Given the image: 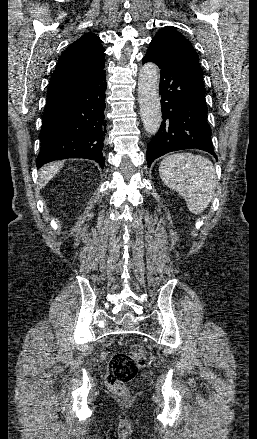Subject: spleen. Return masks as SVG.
Returning <instances> with one entry per match:
<instances>
[{
  "instance_id": "spleen-1",
  "label": "spleen",
  "mask_w": 257,
  "mask_h": 439,
  "mask_svg": "<svg viewBox=\"0 0 257 439\" xmlns=\"http://www.w3.org/2000/svg\"><path fill=\"white\" fill-rule=\"evenodd\" d=\"M162 182L186 201L195 215L201 214L212 200L217 178L212 162L192 153L165 157L159 166Z\"/></svg>"
}]
</instances>
